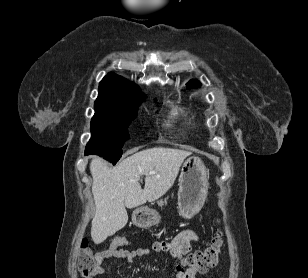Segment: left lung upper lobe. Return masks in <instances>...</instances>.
Returning <instances> with one entry per match:
<instances>
[{
	"label": "left lung upper lobe",
	"instance_id": "obj_1",
	"mask_svg": "<svg viewBox=\"0 0 308 278\" xmlns=\"http://www.w3.org/2000/svg\"><path fill=\"white\" fill-rule=\"evenodd\" d=\"M186 85H187L188 88H195V87L198 88V87L201 86V83L197 82L196 80H191Z\"/></svg>",
	"mask_w": 308,
	"mask_h": 278
}]
</instances>
